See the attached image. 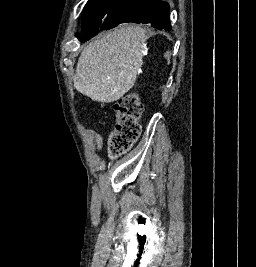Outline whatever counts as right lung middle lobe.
<instances>
[{
	"label": "right lung middle lobe",
	"mask_w": 256,
	"mask_h": 267,
	"mask_svg": "<svg viewBox=\"0 0 256 267\" xmlns=\"http://www.w3.org/2000/svg\"><path fill=\"white\" fill-rule=\"evenodd\" d=\"M141 0H89L82 12L81 34L77 37L85 42L99 31L110 29L113 24L136 6Z\"/></svg>",
	"instance_id": "dd1d6c3e"
}]
</instances>
